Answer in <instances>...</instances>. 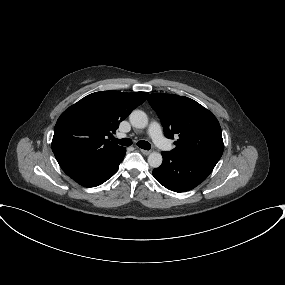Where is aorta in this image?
Instances as JSON below:
<instances>
[{
  "instance_id": "obj_1",
  "label": "aorta",
  "mask_w": 285,
  "mask_h": 285,
  "mask_svg": "<svg viewBox=\"0 0 285 285\" xmlns=\"http://www.w3.org/2000/svg\"><path fill=\"white\" fill-rule=\"evenodd\" d=\"M133 127L143 129L148 125V117L144 111L134 110L129 116ZM163 158L159 152H152L148 156V163L151 167L157 168L162 164Z\"/></svg>"
}]
</instances>
